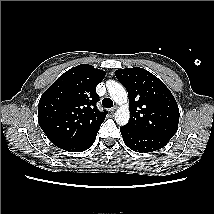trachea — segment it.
<instances>
[{
  "label": "trachea",
  "instance_id": "1",
  "mask_svg": "<svg viewBox=\"0 0 214 214\" xmlns=\"http://www.w3.org/2000/svg\"><path fill=\"white\" fill-rule=\"evenodd\" d=\"M103 107L111 108L113 106V101L110 98H104L102 100Z\"/></svg>",
  "mask_w": 214,
  "mask_h": 214
}]
</instances>
